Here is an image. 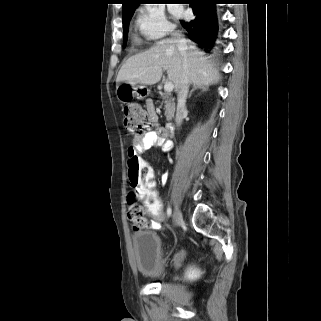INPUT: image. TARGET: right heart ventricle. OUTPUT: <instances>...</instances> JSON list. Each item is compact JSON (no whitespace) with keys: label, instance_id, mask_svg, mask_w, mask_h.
<instances>
[{"label":"right heart ventricle","instance_id":"1","mask_svg":"<svg viewBox=\"0 0 321 321\" xmlns=\"http://www.w3.org/2000/svg\"><path fill=\"white\" fill-rule=\"evenodd\" d=\"M133 41H134V43H137V44L142 42L141 38H139L137 35H134Z\"/></svg>","mask_w":321,"mask_h":321}]
</instances>
